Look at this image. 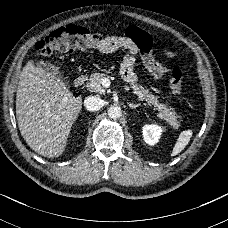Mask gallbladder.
<instances>
[{
  "label": "gallbladder",
  "instance_id": "gallbladder-1",
  "mask_svg": "<svg viewBox=\"0 0 228 228\" xmlns=\"http://www.w3.org/2000/svg\"><path fill=\"white\" fill-rule=\"evenodd\" d=\"M39 65L45 70L53 73L55 76L59 77L62 82L71 83V77H68L66 73L58 66L57 63L48 60H39Z\"/></svg>",
  "mask_w": 228,
  "mask_h": 228
}]
</instances>
